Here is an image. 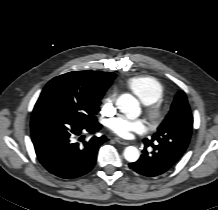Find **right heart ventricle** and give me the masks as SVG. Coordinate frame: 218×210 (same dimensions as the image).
<instances>
[{
	"label": "right heart ventricle",
	"mask_w": 218,
	"mask_h": 210,
	"mask_svg": "<svg viewBox=\"0 0 218 210\" xmlns=\"http://www.w3.org/2000/svg\"><path fill=\"white\" fill-rule=\"evenodd\" d=\"M126 86L146 105L158 102L164 93L162 84L151 76L132 77Z\"/></svg>",
	"instance_id": "e07e8e85"
}]
</instances>
